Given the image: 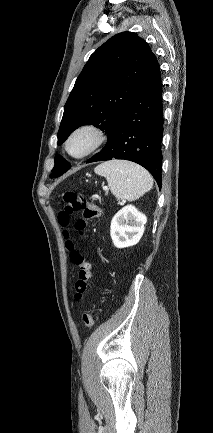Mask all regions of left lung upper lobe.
Listing matches in <instances>:
<instances>
[{
  "label": "left lung upper lobe",
  "mask_w": 213,
  "mask_h": 433,
  "mask_svg": "<svg viewBox=\"0 0 213 433\" xmlns=\"http://www.w3.org/2000/svg\"><path fill=\"white\" fill-rule=\"evenodd\" d=\"M156 63L149 45L133 32L116 34L101 45L90 56L66 101L58 145L81 125L93 124L109 135ZM69 169L70 164L56 156L51 177Z\"/></svg>",
  "instance_id": "obj_1"
}]
</instances>
